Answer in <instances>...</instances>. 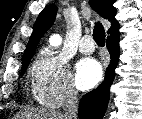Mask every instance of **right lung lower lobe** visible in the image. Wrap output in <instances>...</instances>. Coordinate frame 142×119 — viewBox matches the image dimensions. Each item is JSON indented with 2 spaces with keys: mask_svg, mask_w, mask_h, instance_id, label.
Listing matches in <instances>:
<instances>
[{
  "mask_svg": "<svg viewBox=\"0 0 142 119\" xmlns=\"http://www.w3.org/2000/svg\"><path fill=\"white\" fill-rule=\"evenodd\" d=\"M106 46L110 54L104 81L93 90L85 94L80 100L78 115L80 119H102L109 102L110 87L115 77V69L119 61V33L109 35Z\"/></svg>",
  "mask_w": 142,
  "mask_h": 119,
  "instance_id": "98d812e1",
  "label": "right lung lower lobe"
}]
</instances>
